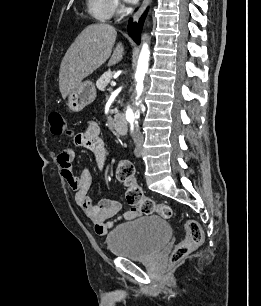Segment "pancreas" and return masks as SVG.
<instances>
[{"label":"pancreas","instance_id":"pancreas-1","mask_svg":"<svg viewBox=\"0 0 261 306\" xmlns=\"http://www.w3.org/2000/svg\"><path fill=\"white\" fill-rule=\"evenodd\" d=\"M113 77V72L107 71L101 75V77L97 80L96 86L99 90L104 91L108 83H110Z\"/></svg>","mask_w":261,"mask_h":306}]
</instances>
